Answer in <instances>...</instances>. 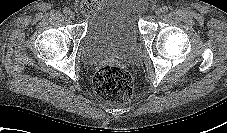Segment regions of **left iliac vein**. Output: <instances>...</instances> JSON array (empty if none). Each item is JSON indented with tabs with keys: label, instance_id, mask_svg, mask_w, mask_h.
Here are the masks:
<instances>
[{
	"label": "left iliac vein",
	"instance_id": "1",
	"mask_svg": "<svg viewBox=\"0 0 227 133\" xmlns=\"http://www.w3.org/2000/svg\"><path fill=\"white\" fill-rule=\"evenodd\" d=\"M155 13H156V15H161L162 13H163V9L162 8H157L156 10H155Z\"/></svg>",
	"mask_w": 227,
	"mask_h": 133
}]
</instances>
